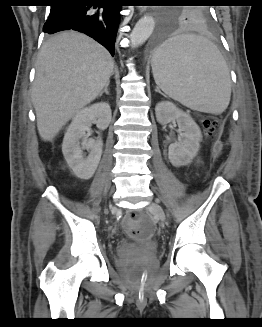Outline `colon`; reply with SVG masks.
Listing matches in <instances>:
<instances>
[{
  "label": "colon",
  "mask_w": 262,
  "mask_h": 327,
  "mask_svg": "<svg viewBox=\"0 0 262 327\" xmlns=\"http://www.w3.org/2000/svg\"><path fill=\"white\" fill-rule=\"evenodd\" d=\"M205 134L213 138L219 130V121L212 117H206L203 120ZM221 144H216L214 152L220 153ZM127 231L134 237L140 240L148 239L154 232V224L152 220L144 213H132L126 220Z\"/></svg>",
  "instance_id": "1"
}]
</instances>
